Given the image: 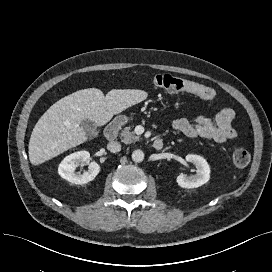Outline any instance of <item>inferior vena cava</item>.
Masks as SVG:
<instances>
[{"mask_svg": "<svg viewBox=\"0 0 272 272\" xmlns=\"http://www.w3.org/2000/svg\"><path fill=\"white\" fill-rule=\"evenodd\" d=\"M107 149L112 153H117L121 150V144L117 141H111L107 144Z\"/></svg>", "mask_w": 272, "mask_h": 272, "instance_id": "1", "label": "inferior vena cava"}]
</instances>
